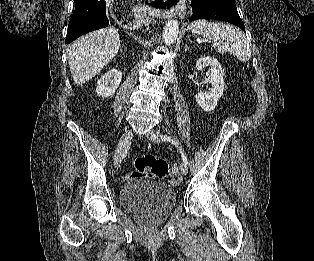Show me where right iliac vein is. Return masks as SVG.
<instances>
[{
  "instance_id": "63e3f726",
  "label": "right iliac vein",
  "mask_w": 314,
  "mask_h": 261,
  "mask_svg": "<svg viewBox=\"0 0 314 261\" xmlns=\"http://www.w3.org/2000/svg\"><path fill=\"white\" fill-rule=\"evenodd\" d=\"M132 138V131L131 130H126L123 135L121 136L118 146H117V150L115 152L114 155V166L115 168H118L121 164V160H122V153L124 148L126 147V145L129 143V141Z\"/></svg>"
}]
</instances>
